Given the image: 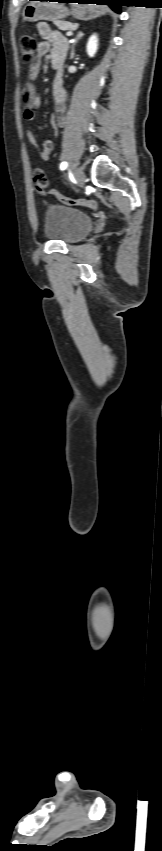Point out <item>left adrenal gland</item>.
Here are the masks:
<instances>
[{
    "label": "left adrenal gland",
    "mask_w": 162,
    "mask_h": 851,
    "mask_svg": "<svg viewBox=\"0 0 162 851\" xmlns=\"http://www.w3.org/2000/svg\"><path fill=\"white\" fill-rule=\"evenodd\" d=\"M83 35H84V33H83V32H78V33H77L76 41L73 43V45H72V47H71V55H70V59H73V58H74V55H75V50H74L75 45H76V43H77V42H78V41H79V40L83 37Z\"/></svg>",
    "instance_id": "obj_1"
}]
</instances>
